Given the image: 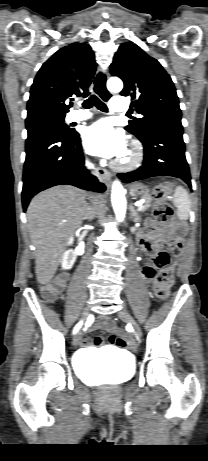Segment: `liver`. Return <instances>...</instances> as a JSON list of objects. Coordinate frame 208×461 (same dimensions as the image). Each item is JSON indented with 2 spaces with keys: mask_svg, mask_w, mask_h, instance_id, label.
I'll use <instances>...</instances> for the list:
<instances>
[{
  "mask_svg": "<svg viewBox=\"0 0 208 461\" xmlns=\"http://www.w3.org/2000/svg\"><path fill=\"white\" fill-rule=\"evenodd\" d=\"M86 193L73 186H55L37 194L27 209L30 238L36 248L35 273L47 284L56 273L69 237L88 215Z\"/></svg>",
  "mask_w": 208,
  "mask_h": 461,
  "instance_id": "obj_1",
  "label": "liver"
}]
</instances>
